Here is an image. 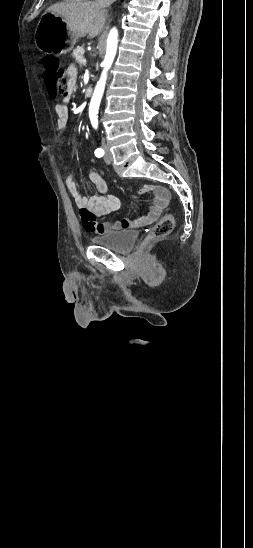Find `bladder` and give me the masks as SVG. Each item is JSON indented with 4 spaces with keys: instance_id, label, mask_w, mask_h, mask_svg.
<instances>
[{
    "instance_id": "obj_1",
    "label": "bladder",
    "mask_w": 253,
    "mask_h": 548,
    "mask_svg": "<svg viewBox=\"0 0 253 548\" xmlns=\"http://www.w3.org/2000/svg\"><path fill=\"white\" fill-rule=\"evenodd\" d=\"M137 237L136 230L109 231L93 236L91 242L116 252H124L130 249Z\"/></svg>"
}]
</instances>
